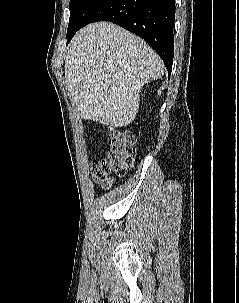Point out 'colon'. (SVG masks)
I'll use <instances>...</instances> for the list:
<instances>
[{
    "label": "colon",
    "mask_w": 239,
    "mask_h": 303,
    "mask_svg": "<svg viewBox=\"0 0 239 303\" xmlns=\"http://www.w3.org/2000/svg\"><path fill=\"white\" fill-rule=\"evenodd\" d=\"M134 136L126 131H113L110 137L111 150L109 155L92 165V175L103 188L108 189L114 176L125 175L133 165Z\"/></svg>",
    "instance_id": "obj_1"
}]
</instances>
